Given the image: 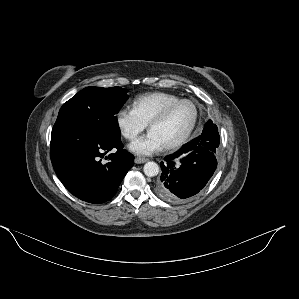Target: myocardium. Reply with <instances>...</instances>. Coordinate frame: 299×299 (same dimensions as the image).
Wrapping results in <instances>:
<instances>
[{"label": "myocardium", "instance_id": "myocardium-1", "mask_svg": "<svg viewBox=\"0 0 299 299\" xmlns=\"http://www.w3.org/2000/svg\"><path fill=\"white\" fill-rule=\"evenodd\" d=\"M183 103H188V104L192 105V107L194 109V117H193L192 123L189 126V128L177 140H175L174 142H172L168 145H165L163 147L165 150H173V149L179 148L189 139V137L193 133V131L198 123V120H199L200 111H199V107H198L197 103L192 99H187V98L179 99L173 103L166 105L148 123V128H149V130H151V128L153 126L164 121L175 108H177L179 105H181Z\"/></svg>", "mask_w": 299, "mask_h": 299}]
</instances>
